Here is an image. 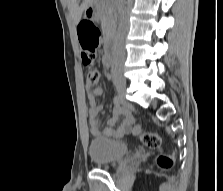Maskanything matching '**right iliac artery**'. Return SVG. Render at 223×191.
Instances as JSON below:
<instances>
[{
	"instance_id": "obj_1",
	"label": "right iliac artery",
	"mask_w": 223,
	"mask_h": 191,
	"mask_svg": "<svg viewBox=\"0 0 223 191\" xmlns=\"http://www.w3.org/2000/svg\"><path fill=\"white\" fill-rule=\"evenodd\" d=\"M114 101L118 104H121V96L120 95H116L114 98Z\"/></svg>"
}]
</instances>
